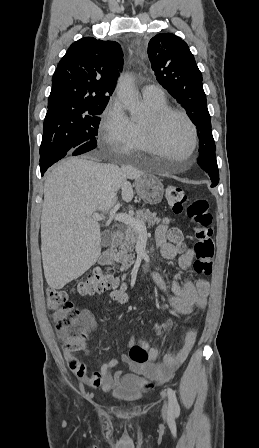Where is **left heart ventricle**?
<instances>
[{
    "label": "left heart ventricle",
    "instance_id": "obj_1",
    "mask_svg": "<svg viewBox=\"0 0 259 448\" xmlns=\"http://www.w3.org/2000/svg\"><path fill=\"white\" fill-rule=\"evenodd\" d=\"M160 139L164 149L155 150L151 155L162 158L167 162H186L189 160L191 132L184 120L179 117L167 119L162 125Z\"/></svg>",
    "mask_w": 259,
    "mask_h": 448
}]
</instances>
